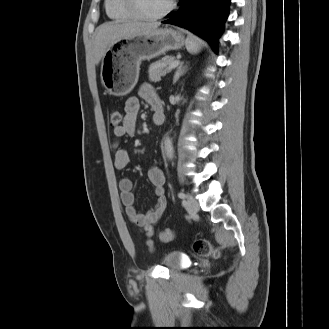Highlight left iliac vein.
<instances>
[{"mask_svg": "<svg viewBox=\"0 0 329 329\" xmlns=\"http://www.w3.org/2000/svg\"><path fill=\"white\" fill-rule=\"evenodd\" d=\"M185 204L189 214H195L199 211V204L192 196L188 195Z\"/></svg>", "mask_w": 329, "mask_h": 329, "instance_id": "1", "label": "left iliac vein"}]
</instances>
